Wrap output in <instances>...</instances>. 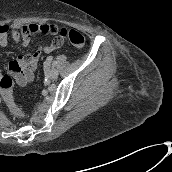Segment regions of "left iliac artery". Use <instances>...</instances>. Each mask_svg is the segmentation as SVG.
Listing matches in <instances>:
<instances>
[{
	"instance_id": "left-iliac-artery-1",
	"label": "left iliac artery",
	"mask_w": 172,
	"mask_h": 172,
	"mask_svg": "<svg viewBox=\"0 0 172 172\" xmlns=\"http://www.w3.org/2000/svg\"><path fill=\"white\" fill-rule=\"evenodd\" d=\"M47 60H48L49 62H51V61L53 60V58H52L51 56H49V57L47 58Z\"/></svg>"
}]
</instances>
